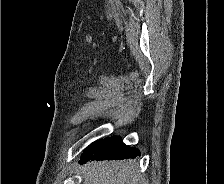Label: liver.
Listing matches in <instances>:
<instances>
[{
  "instance_id": "6515ba94",
  "label": "liver",
  "mask_w": 224,
  "mask_h": 184,
  "mask_svg": "<svg viewBox=\"0 0 224 184\" xmlns=\"http://www.w3.org/2000/svg\"><path fill=\"white\" fill-rule=\"evenodd\" d=\"M83 184H138V170L132 161L91 162L81 167Z\"/></svg>"
}]
</instances>
